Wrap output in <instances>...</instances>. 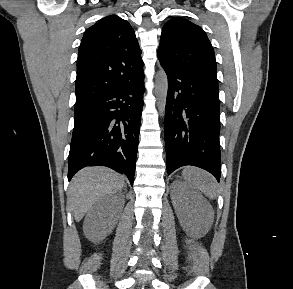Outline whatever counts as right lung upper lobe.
<instances>
[{"label": "right lung upper lobe", "instance_id": "right-lung-upper-lobe-1", "mask_svg": "<svg viewBox=\"0 0 293 289\" xmlns=\"http://www.w3.org/2000/svg\"><path fill=\"white\" fill-rule=\"evenodd\" d=\"M143 73L141 50L131 25L117 15L87 29L82 38L75 83V107L137 81Z\"/></svg>", "mask_w": 293, "mask_h": 289}]
</instances>
